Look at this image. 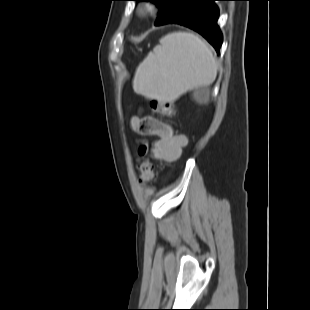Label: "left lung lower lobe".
<instances>
[{"mask_svg": "<svg viewBox=\"0 0 310 310\" xmlns=\"http://www.w3.org/2000/svg\"><path fill=\"white\" fill-rule=\"evenodd\" d=\"M214 1L221 0H186L170 24L183 25L198 32L219 54L222 35L217 24L218 8Z\"/></svg>", "mask_w": 310, "mask_h": 310, "instance_id": "0a47b994", "label": "left lung lower lobe"}]
</instances>
